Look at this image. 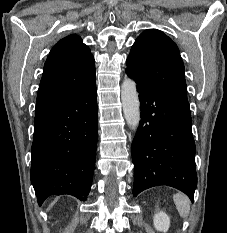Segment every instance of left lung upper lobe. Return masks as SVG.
<instances>
[{
    "label": "left lung upper lobe",
    "mask_w": 227,
    "mask_h": 233,
    "mask_svg": "<svg viewBox=\"0 0 227 233\" xmlns=\"http://www.w3.org/2000/svg\"><path fill=\"white\" fill-rule=\"evenodd\" d=\"M126 73L162 91L187 99L184 64L177 45L163 32L148 29L133 44Z\"/></svg>",
    "instance_id": "left-lung-upper-lobe-1"
}]
</instances>
